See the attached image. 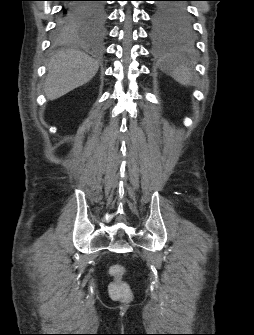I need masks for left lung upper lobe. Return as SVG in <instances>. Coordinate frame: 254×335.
Wrapping results in <instances>:
<instances>
[{"mask_svg":"<svg viewBox=\"0 0 254 335\" xmlns=\"http://www.w3.org/2000/svg\"><path fill=\"white\" fill-rule=\"evenodd\" d=\"M157 1L161 2L153 14V31L156 36L162 37L191 30L190 14L183 2L186 0Z\"/></svg>","mask_w":254,"mask_h":335,"instance_id":"5c2ea615","label":"left lung upper lobe"}]
</instances>
